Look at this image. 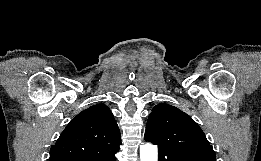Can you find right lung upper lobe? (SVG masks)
<instances>
[{
	"instance_id": "1",
	"label": "right lung upper lobe",
	"mask_w": 261,
	"mask_h": 161,
	"mask_svg": "<svg viewBox=\"0 0 261 161\" xmlns=\"http://www.w3.org/2000/svg\"><path fill=\"white\" fill-rule=\"evenodd\" d=\"M120 131L110 109L98 104L78 114L51 147L49 161H74L119 148Z\"/></svg>"
}]
</instances>
